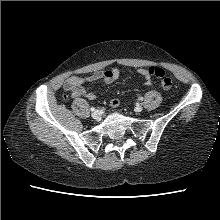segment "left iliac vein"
Returning a JSON list of instances; mask_svg holds the SVG:
<instances>
[{
    "label": "left iliac vein",
    "mask_w": 220,
    "mask_h": 220,
    "mask_svg": "<svg viewBox=\"0 0 220 220\" xmlns=\"http://www.w3.org/2000/svg\"><path fill=\"white\" fill-rule=\"evenodd\" d=\"M143 110V107L141 106V105H137L136 107H135V111L136 112H141Z\"/></svg>",
    "instance_id": "left-iliac-vein-1"
}]
</instances>
